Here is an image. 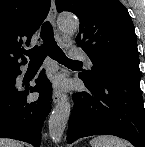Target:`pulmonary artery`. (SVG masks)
<instances>
[{
    "label": "pulmonary artery",
    "mask_w": 145,
    "mask_h": 147,
    "mask_svg": "<svg viewBox=\"0 0 145 147\" xmlns=\"http://www.w3.org/2000/svg\"><path fill=\"white\" fill-rule=\"evenodd\" d=\"M69 55L73 59L84 60L88 64V66H90V67L93 66L92 60L88 57V55L84 51H81V50H71L69 52Z\"/></svg>",
    "instance_id": "pulmonary-artery-1"
}]
</instances>
